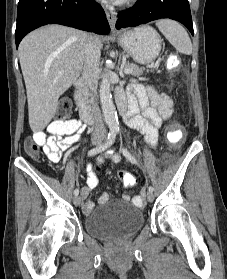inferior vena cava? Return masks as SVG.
<instances>
[{"label": "inferior vena cava", "instance_id": "1", "mask_svg": "<svg viewBox=\"0 0 227 279\" xmlns=\"http://www.w3.org/2000/svg\"><path fill=\"white\" fill-rule=\"evenodd\" d=\"M100 64V47L93 37H89L85 47V60L82 71V78L86 87L91 91L94 103L92 106V113L94 119V137H103L106 135V128L104 126L99 106L96 102V90L98 85V73Z\"/></svg>", "mask_w": 227, "mask_h": 279}]
</instances>
